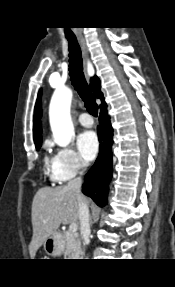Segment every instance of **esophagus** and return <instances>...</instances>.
<instances>
[{"mask_svg":"<svg viewBox=\"0 0 175 287\" xmlns=\"http://www.w3.org/2000/svg\"><path fill=\"white\" fill-rule=\"evenodd\" d=\"M78 42L79 45L81 47V51H82V58H83V67H84V72L87 75V58H88V47L86 45V42L84 40V38L79 37L78 38Z\"/></svg>","mask_w":175,"mask_h":287,"instance_id":"obj_1","label":"esophagus"}]
</instances>
